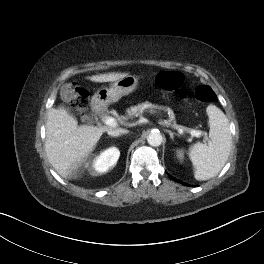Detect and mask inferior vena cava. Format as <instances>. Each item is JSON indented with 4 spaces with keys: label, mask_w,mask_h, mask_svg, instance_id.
Segmentation results:
<instances>
[{
    "label": "inferior vena cava",
    "mask_w": 264,
    "mask_h": 264,
    "mask_svg": "<svg viewBox=\"0 0 264 264\" xmlns=\"http://www.w3.org/2000/svg\"><path fill=\"white\" fill-rule=\"evenodd\" d=\"M107 133L110 136H118V135H121V134L128 133V130L123 129V128H115V129L108 130Z\"/></svg>",
    "instance_id": "obj_1"
}]
</instances>
